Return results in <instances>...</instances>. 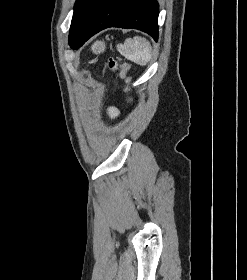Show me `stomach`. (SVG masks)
I'll use <instances>...</instances> for the list:
<instances>
[{
    "mask_svg": "<svg viewBox=\"0 0 247 280\" xmlns=\"http://www.w3.org/2000/svg\"><path fill=\"white\" fill-rule=\"evenodd\" d=\"M105 47L104 41H96L91 48L94 53L99 54L105 50Z\"/></svg>",
    "mask_w": 247,
    "mask_h": 280,
    "instance_id": "1",
    "label": "stomach"
}]
</instances>
